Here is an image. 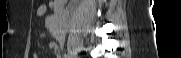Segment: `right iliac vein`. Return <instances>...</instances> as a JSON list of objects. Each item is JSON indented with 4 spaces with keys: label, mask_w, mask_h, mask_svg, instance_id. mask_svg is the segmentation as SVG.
I'll list each match as a JSON object with an SVG mask.
<instances>
[{
    "label": "right iliac vein",
    "mask_w": 181,
    "mask_h": 58,
    "mask_svg": "<svg viewBox=\"0 0 181 58\" xmlns=\"http://www.w3.org/2000/svg\"><path fill=\"white\" fill-rule=\"evenodd\" d=\"M69 58H77V57L75 56V54L72 51H70L69 52Z\"/></svg>",
    "instance_id": "obj_1"
}]
</instances>
